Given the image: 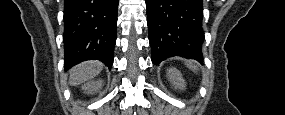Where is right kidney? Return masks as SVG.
Masks as SVG:
<instances>
[{
	"mask_svg": "<svg viewBox=\"0 0 285 115\" xmlns=\"http://www.w3.org/2000/svg\"><path fill=\"white\" fill-rule=\"evenodd\" d=\"M102 84H103L102 80L90 81L82 86V90L85 93L92 94L94 92H97V90L102 87Z\"/></svg>",
	"mask_w": 285,
	"mask_h": 115,
	"instance_id": "right-kidney-1",
	"label": "right kidney"
}]
</instances>
